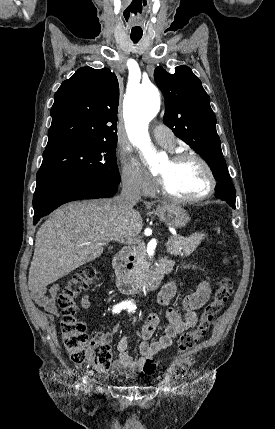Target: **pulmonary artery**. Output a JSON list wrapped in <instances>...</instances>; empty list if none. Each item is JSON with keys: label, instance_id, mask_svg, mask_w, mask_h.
Segmentation results:
<instances>
[{"label": "pulmonary artery", "instance_id": "pulmonary-artery-1", "mask_svg": "<svg viewBox=\"0 0 275 429\" xmlns=\"http://www.w3.org/2000/svg\"><path fill=\"white\" fill-rule=\"evenodd\" d=\"M156 141L165 148L173 149L175 139L173 133L164 127H156L153 131Z\"/></svg>", "mask_w": 275, "mask_h": 429}]
</instances>
